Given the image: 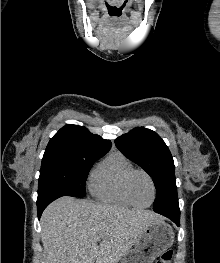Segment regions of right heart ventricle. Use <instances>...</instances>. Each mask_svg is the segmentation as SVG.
<instances>
[{"label": "right heart ventricle", "instance_id": "right-heart-ventricle-1", "mask_svg": "<svg viewBox=\"0 0 220 263\" xmlns=\"http://www.w3.org/2000/svg\"><path fill=\"white\" fill-rule=\"evenodd\" d=\"M132 170L134 165L123 154L110 153L90 175L88 187L91 195L104 203L132 206L124 189L126 177Z\"/></svg>", "mask_w": 220, "mask_h": 263}]
</instances>
